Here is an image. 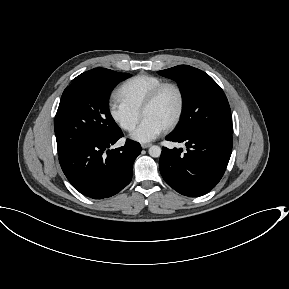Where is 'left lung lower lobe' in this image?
Segmentation results:
<instances>
[{
	"mask_svg": "<svg viewBox=\"0 0 289 289\" xmlns=\"http://www.w3.org/2000/svg\"><path fill=\"white\" fill-rule=\"evenodd\" d=\"M166 140L185 142L187 152L162 148L159 168L168 185L182 195L198 197L209 192L222 178L229 162L233 140L222 133L193 131L171 133Z\"/></svg>",
	"mask_w": 289,
	"mask_h": 289,
	"instance_id": "0a47b994",
	"label": "left lung lower lobe"
}]
</instances>
